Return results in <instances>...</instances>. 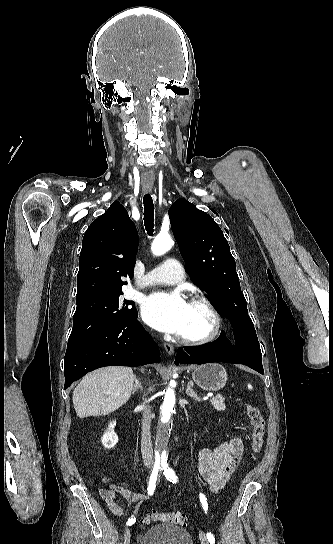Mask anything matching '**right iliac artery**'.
I'll use <instances>...</instances> for the list:
<instances>
[{"label":"right iliac artery","instance_id":"obj_1","mask_svg":"<svg viewBox=\"0 0 333 544\" xmlns=\"http://www.w3.org/2000/svg\"><path fill=\"white\" fill-rule=\"evenodd\" d=\"M159 470H160V465L155 464L154 467H153L150 479H149L148 487H147L149 495H153V493H154V491L156 489V481H157V476H158ZM135 521H136L135 518L131 517V518L128 519L127 525L130 526V525L134 524Z\"/></svg>","mask_w":333,"mask_h":544}]
</instances>
